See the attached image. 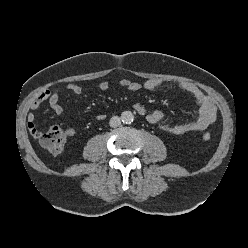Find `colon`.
<instances>
[{"label": "colon", "mask_w": 248, "mask_h": 248, "mask_svg": "<svg viewBox=\"0 0 248 248\" xmlns=\"http://www.w3.org/2000/svg\"><path fill=\"white\" fill-rule=\"evenodd\" d=\"M211 135L209 133H204L202 139L204 141H209ZM39 141L42 146L52 154L60 153L66 143V135L58 126H51L46 132L40 133Z\"/></svg>", "instance_id": "1"}]
</instances>
